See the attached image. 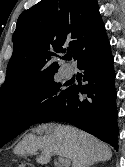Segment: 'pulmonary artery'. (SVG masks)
<instances>
[{
  "label": "pulmonary artery",
  "mask_w": 125,
  "mask_h": 167,
  "mask_svg": "<svg viewBox=\"0 0 125 167\" xmlns=\"http://www.w3.org/2000/svg\"><path fill=\"white\" fill-rule=\"evenodd\" d=\"M74 71L73 70H65L64 71V78H71L73 75Z\"/></svg>",
  "instance_id": "obj_1"
}]
</instances>
